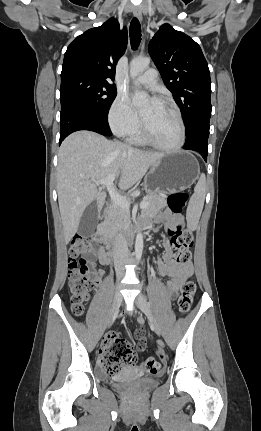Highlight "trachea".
<instances>
[{"label":"trachea","instance_id":"obj_1","mask_svg":"<svg viewBox=\"0 0 261 431\" xmlns=\"http://www.w3.org/2000/svg\"><path fill=\"white\" fill-rule=\"evenodd\" d=\"M130 42L132 49H137L141 41V26L137 18H133L130 24Z\"/></svg>","mask_w":261,"mask_h":431}]
</instances>
